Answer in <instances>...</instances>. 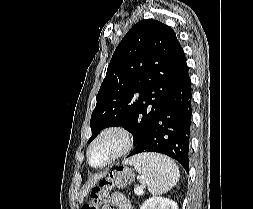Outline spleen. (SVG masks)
<instances>
[{"mask_svg": "<svg viewBox=\"0 0 253 209\" xmlns=\"http://www.w3.org/2000/svg\"><path fill=\"white\" fill-rule=\"evenodd\" d=\"M132 165L143 178L152 195H160L177 184L180 173L175 162L158 153H143L124 161Z\"/></svg>", "mask_w": 253, "mask_h": 209, "instance_id": "3e777b00", "label": "spleen"}]
</instances>
